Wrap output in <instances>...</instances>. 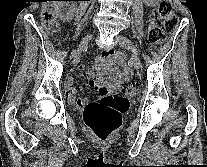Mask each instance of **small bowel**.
<instances>
[{
  "mask_svg": "<svg viewBox=\"0 0 207 167\" xmlns=\"http://www.w3.org/2000/svg\"><path fill=\"white\" fill-rule=\"evenodd\" d=\"M146 2H153L154 0H145ZM116 54L115 56H117ZM113 56L111 51H106L103 55V59H110ZM79 70L83 73H86L89 78V83L91 86L97 88L100 97L108 94L113 93L118 88V83L120 79L128 80L132 77V71L129 67L123 66L122 74H119L118 69L112 65L111 63L108 64V71H109V79L105 80L102 76V73H99L96 77L94 74L88 72L84 65L79 67ZM65 89L68 100L76 104L80 108L86 107L91 101L86 98H76V89L73 87L72 78H67L65 81Z\"/></svg>",
  "mask_w": 207,
  "mask_h": 167,
  "instance_id": "1",
  "label": "small bowel"
}]
</instances>
